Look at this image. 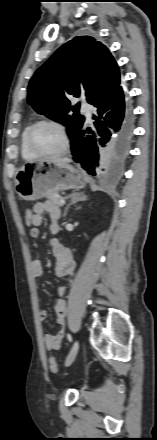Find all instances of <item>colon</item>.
<instances>
[{"label": "colon", "mask_w": 157, "mask_h": 440, "mask_svg": "<svg viewBox=\"0 0 157 440\" xmlns=\"http://www.w3.org/2000/svg\"><path fill=\"white\" fill-rule=\"evenodd\" d=\"M34 220H35V216H34L33 210H31L29 208L25 209L24 210V221H25L26 225L33 226ZM49 368H50V371L54 374H57L59 371L57 361H56L55 357H53V356H51L49 358Z\"/></svg>", "instance_id": "colon-1"}]
</instances>
